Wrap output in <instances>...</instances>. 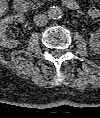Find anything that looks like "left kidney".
Masks as SVG:
<instances>
[{"mask_svg": "<svg viewBox=\"0 0 100 118\" xmlns=\"http://www.w3.org/2000/svg\"><path fill=\"white\" fill-rule=\"evenodd\" d=\"M90 44L94 49H99L100 47V33L96 31L91 35Z\"/></svg>", "mask_w": 100, "mask_h": 118, "instance_id": "5707ae66", "label": "left kidney"}]
</instances>
